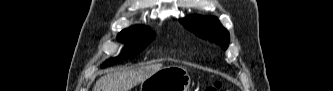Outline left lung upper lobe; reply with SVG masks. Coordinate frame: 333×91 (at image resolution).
<instances>
[{"mask_svg":"<svg viewBox=\"0 0 333 91\" xmlns=\"http://www.w3.org/2000/svg\"><path fill=\"white\" fill-rule=\"evenodd\" d=\"M186 29L199 37L217 40L226 50L229 44V33L216 17L190 16L179 20Z\"/></svg>","mask_w":333,"mask_h":91,"instance_id":"5c2ea615","label":"left lung upper lobe"}]
</instances>
